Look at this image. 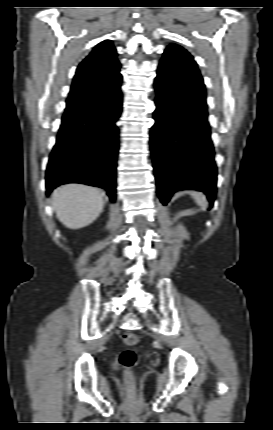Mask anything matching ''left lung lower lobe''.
Wrapping results in <instances>:
<instances>
[{"instance_id": "1", "label": "left lung lower lobe", "mask_w": 273, "mask_h": 430, "mask_svg": "<svg viewBox=\"0 0 273 430\" xmlns=\"http://www.w3.org/2000/svg\"><path fill=\"white\" fill-rule=\"evenodd\" d=\"M156 110L150 136L157 194L166 205L174 192L203 191L213 204L217 167L207 109L179 94L170 79L158 71Z\"/></svg>"}]
</instances>
